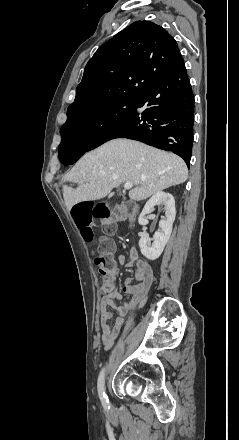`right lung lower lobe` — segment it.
<instances>
[{"mask_svg":"<svg viewBox=\"0 0 239 440\" xmlns=\"http://www.w3.org/2000/svg\"><path fill=\"white\" fill-rule=\"evenodd\" d=\"M136 107H143L142 114ZM194 95L181 59L166 76L150 86L122 121L98 135L87 148L67 147L59 153L64 165L74 164L86 151L124 137L172 151L190 164L193 145Z\"/></svg>","mask_w":239,"mask_h":440,"instance_id":"obj_1","label":"right lung lower lobe"}]
</instances>
